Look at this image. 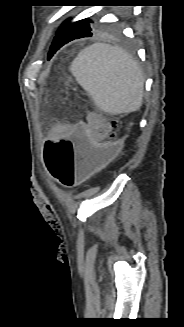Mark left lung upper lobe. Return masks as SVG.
I'll return each instance as SVG.
<instances>
[{
	"label": "left lung upper lobe",
	"instance_id": "obj_1",
	"mask_svg": "<svg viewBox=\"0 0 184 327\" xmlns=\"http://www.w3.org/2000/svg\"><path fill=\"white\" fill-rule=\"evenodd\" d=\"M91 20L89 18L82 19L80 21L70 23L68 27L73 28V30H78L80 35L92 34L94 27L91 25Z\"/></svg>",
	"mask_w": 184,
	"mask_h": 327
}]
</instances>
